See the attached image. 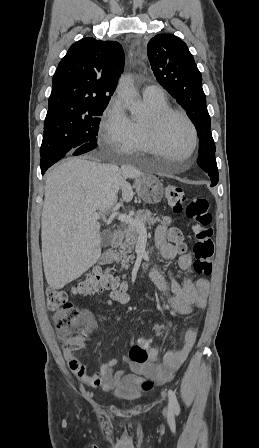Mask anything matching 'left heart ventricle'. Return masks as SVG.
<instances>
[{"label": "left heart ventricle", "instance_id": "b2bd125f", "mask_svg": "<svg viewBox=\"0 0 259 448\" xmlns=\"http://www.w3.org/2000/svg\"><path fill=\"white\" fill-rule=\"evenodd\" d=\"M161 141L164 149L152 150L151 155L162 158L167 162H186L190 160L192 136L189 127L181 118L173 117L164 123L161 130Z\"/></svg>", "mask_w": 259, "mask_h": 448}]
</instances>
